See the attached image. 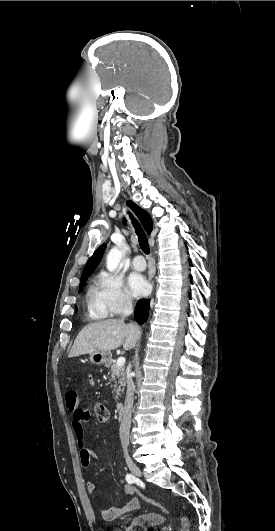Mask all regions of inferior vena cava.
I'll return each instance as SVG.
<instances>
[{
  "label": "inferior vena cava",
  "instance_id": "1",
  "mask_svg": "<svg viewBox=\"0 0 275 531\" xmlns=\"http://www.w3.org/2000/svg\"><path fill=\"white\" fill-rule=\"evenodd\" d=\"M132 313H133L132 301H129V299H125L124 305H123V319L124 317H128V315H132ZM134 389L135 387H134L133 379L129 375L127 379V393H126V399H125V407L123 411V419L121 421V425L119 429V437H120V441H121V445L123 449H127L128 447L129 433L131 429V415L133 413Z\"/></svg>",
  "mask_w": 275,
  "mask_h": 531
}]
</instances>
